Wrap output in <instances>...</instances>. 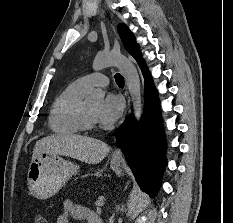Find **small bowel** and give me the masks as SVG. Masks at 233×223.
I'll return each mask as SVG.
<instances>
[{
  "label": "small bowel",
  "instance_id": "small-bowel-1",
  "mask_svg": "<svg viewBox=\"0 0 233 223\" xmlns=\"http://www.w3.org/2000/svg\"><path fill=\"white\" fill-rule=\"evenodd\" d=\"M70 219L85 223H101L99 216L93 210L66 199L62 203V213L57 217L56 223H70Z\"/></svg>",
  "mask_w": 233,
  "mask_h": 223
}]
</instances>
